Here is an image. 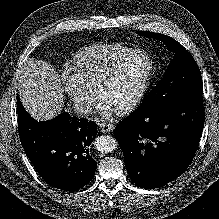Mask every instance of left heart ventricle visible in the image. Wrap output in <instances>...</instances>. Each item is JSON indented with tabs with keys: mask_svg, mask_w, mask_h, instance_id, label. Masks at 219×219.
<instances>
[{
	"mask_svg": "<svg viewBox=\"0 0 219 219\" xmlns=\"http://www.w3.org/2000/svg\"><path fill=\"white\" fill-rule=\"evenodd\" d=\"M149 68L148 58L136 54L124 61L115 75L102 88L100 96L115 108L128 103L139 90Z\"/></svg>",
	"mask_w": 219,
	"mask_h": 219,
	"instance_id": "obj_1",
	"label": "left heart ventricle"
}]
</instances>
